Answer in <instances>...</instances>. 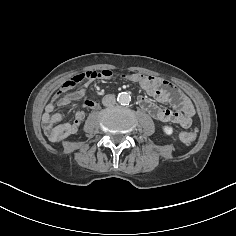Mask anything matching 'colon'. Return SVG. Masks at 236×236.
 <instances>
[{
	"label": "colon",
	"instance_id": "1",
	"mask_svg": "<svg viewBox=\"0 0 236 236\" xmlns=\"http://www.w3.org/2000/svg\"><path fill=\"white\" fill-rule=\"evenodd\" d=\"M99 76H104V77H111L112 76V72L109 70H103L101 71L99 74ZM128 81H133L135 79V76L133 74L124 76ZM197 133L195 131L192 132H182L180 134V139L184 142V143H191L192 141H194L196 139Z\"/></svg>",
	"mask_w": 236,
	"mask_h": 236
}]
</instances>
